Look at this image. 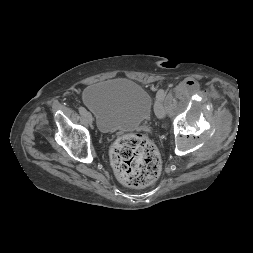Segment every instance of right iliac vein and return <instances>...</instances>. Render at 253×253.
Wrapping results in <instances>:
<instances>
[{
	"label": "right iliac vein",
	"mask_w": 253,
	"mask_h": 253,
	"mask_svg": "<svg viewBox=\"0 0 253 253\" xmlns=\"http://www.w3.org/2000/svg\"><path fill=\"white\" fill-rule=\"evenodd\" d=\"M83 116L85 117L86 122H88V124L92 123V115L90 112L86 111Z\"/></svg>",
	"instance_id": "right-iliac-vein-1"
}]
</instances>
